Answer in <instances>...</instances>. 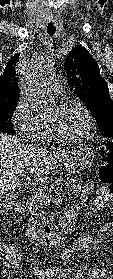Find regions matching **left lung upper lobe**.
<instances>
[{"mask_svg": "<svg viewBox=\"0 0 113 279\" xmlns=\"http://www.w3.org/2000/svg\"><path fill=\"white\" fill-rule=\"evenodd\" d=\"M64 68L69 85L93 114L100 132L113 138V102L95 59L85 47L78 45L69 52Z\"/></svg>", "mask_w": 113, "mask_h": 279, "instance_id": "obj_1", "label": "left lung upper lobe"}]
</instances>
